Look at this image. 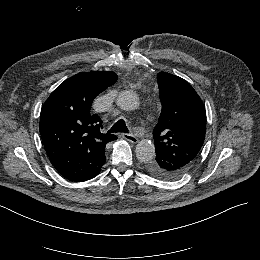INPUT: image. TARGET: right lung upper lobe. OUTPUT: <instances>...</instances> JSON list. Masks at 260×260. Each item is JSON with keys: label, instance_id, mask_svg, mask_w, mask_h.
Returning a JSON list of instances; mask_svg holds the SVG:
<instances>
[{"label": "right lung upper lobe", "instance_id": "right-lung-upper-lobe-1", "mask_svg": "<svg viewBox=\"0 0 260 260\" xmlns=\"http://www.w3.org/2000/svg\"><path fill=\"white\" fill-rule=\"evenodd\" d=\"M116 80L114 72L79 73L46 100L40 134L52 165L63 177L76 182L92 179L105 163V146L117 137L101 132L102 120L90 108L93 99Z\"/></svg>", "mask_w": 260, "mask_h": 260}]
</instances>
